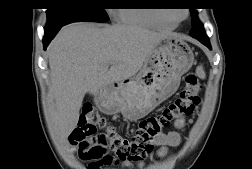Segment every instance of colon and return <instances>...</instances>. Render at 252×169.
<instances>
[{"label":"colon","instance_id":"colon-1","mask_svg":"<svg viewBox=\"0 0 252 169\" xmlns=\"http://www.w3.org/2000/svg\"><path fill=\"white\" fill-rule=\"evenodd\" d=\"M201 89L196 74L187 73L178 97L158 114L141 120L132 136L123 135L94 107L85 105L70 142L80 158L88 163V169H102L117 161H142L151 153L156 137L173 121L193 113L199 104ZM109 150L115 157L108 154Z\"/></svg>","mask_w":252,"mask_h":169}]
</instances>
